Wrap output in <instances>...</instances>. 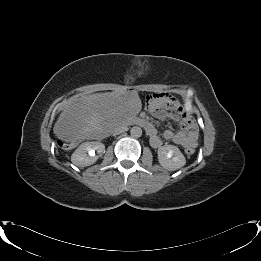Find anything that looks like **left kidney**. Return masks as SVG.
Instances as JSON below:
<instances>
[{"label": "left kidney", "mask_w": 261, "mask_h": 261, "mask_svg": "<svg viewBox=\"0 0 261 261\" xmlns=\"http://www.w3.org/2000/svg\"><path fill=\"white\" fill-rule=\"evenodd\" d=\"M157 154L160 165L169 171L180 169L186 164V159L177 146H162Z\"/></svg>", "instance_id": "1"}]
</instances>
